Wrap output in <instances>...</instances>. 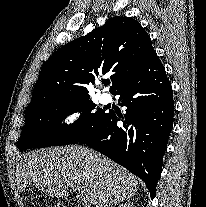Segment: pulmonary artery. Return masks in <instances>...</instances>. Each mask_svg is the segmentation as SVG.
<instances>
[{
    "label": "pulmonary artery",
    "instance_id": "pulmonary-artery-1",
    "mask_svg": "<svg viewBox=\"0 0 206 207\" xmlns=\"http://www.w3.org/2000/svg\"><path fill=\"white\" fill-rule=\"evenodd\" d=\"M100 101L103 104H107L111 101V95L109 93H102L100 96Z\"/></svg>",
    "mask_w": 206,
    "mask_h": 207
}]
</instances>
